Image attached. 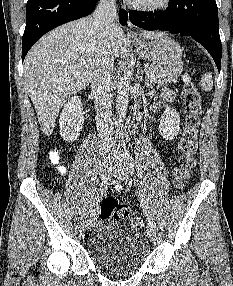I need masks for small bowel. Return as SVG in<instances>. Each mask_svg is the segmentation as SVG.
<instances>
[{
	"instance_id": "small-bowel-1",
	"label": "small bowel",
	"mask_w": 233,
	"mask_h": 286,
	"mask_svg": "<svg viewBox=\"0 0 233 286\" xmlns=\"http://www.w3.org/2000/svg\"><path fill=\"white\" fill-rule=\"evenodd\" d=\"M161 98H162L161 104L170 103L174 99V92L172 90L168 89V88H165L161 92ZM60 171H61V173H64L65 169L61 168ZM114 187L117 190H121L122 189V186L118 182H114Z\"/></svg>"
}]
</instances>
